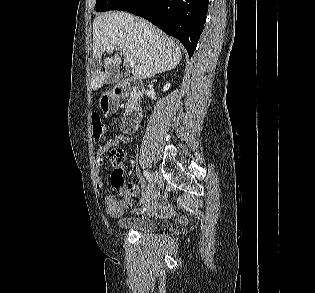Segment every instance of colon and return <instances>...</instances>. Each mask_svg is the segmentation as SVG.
Listing matches in <instances>:
<instances>
[{
    "instance_id": "5ec220e1",
    "label": "colon",
    "mask_w": 315,
    "mask_h": 293,
    "mask_svg": "<svg viewBox=\"0 0 315 293\" xmlns=\"http://www.w3.org/2000/svg\"><path fill=\"white\" fill-rule=\"evenodd\" d=\"M92 133L93 137L100 140L104 137L105 131L100 116L95 113L92 115ZM109 161L114 166L111 173V183L115 189L124 195L125 190H134L130 186L124 185L123 169L121 164L124 160V153L121 149H113L108 155Z\"/></svg>"
}]
</instances>
